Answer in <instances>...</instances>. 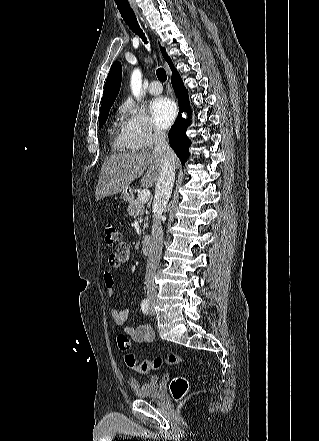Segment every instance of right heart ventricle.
Instances as JSON below:
<instances>
[{"label":"right heart ventricle","mask_w":319,"mask_h":441,"mask_svg":"<svg viewBox=\"0 0 319 441\" xmlns=\"http://www.w3.org/2000/svg\"><path fill=\"white\" fill-rule=\"evenodd\" d=\"M111 139H112V145L114 149L118 151H129L131 150L129 146L127 145L125 136H124V129L123 124H121L119 121H115L112 126V132H111Z\"/></svg>","instance_id":"obj_1"}]
</instances>
